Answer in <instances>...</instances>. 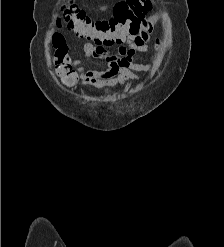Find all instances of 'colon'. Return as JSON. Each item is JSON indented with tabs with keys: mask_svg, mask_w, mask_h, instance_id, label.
Listing matches in <instances>:
<instances>
[{
	"mask_svg": "<svg viewBox=\"0 0 224 247\" xmlns=\"http://www.w3.org/2000/svg\"><path fill=\"white\" fill-rule=\"evenodd\" d=\"M152 7V0H125L115 5L111 18L94 21L74 0H67L60 7L59 15L67 28L77 36L95 42H113L136 33ZM56 70L68 84H73L78 79L76 70L69 63L58 62Z\"/></svg>",
	"mask_w": 224,
	"mask_h": 247,
	"instance_id": "obj_1",
	"label": "colon"
}]
</instances>
